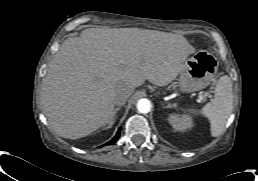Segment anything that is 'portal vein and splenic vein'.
Here are the masks:
<instances>
[{
	"label": "portal vein and splenic vein",
	"instance_id": "1",
	"mask_svg": "<svg viewBox=\"0 0 258 181\" xmlns=\"http://www.w3.org/2000/svg\"><path fill=\"white\" fill-rule=\"evenodd\" d=\"M205 97V95H199V98L200 99H202V98H204Z\"/></svg>",
	"mask_w": 258,
	"mask_h": 181
}]
</instances>
